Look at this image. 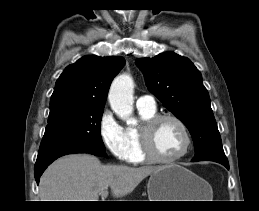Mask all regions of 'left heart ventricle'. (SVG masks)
Here are the masks:
<instances>
[{"label":"left heart ventricle","mask_w":259,"mask_h":211,"mask_svg":"<svg viewBox=\"0 0 259 211\" xmlns=\"http://www.w3.org/2000/svg\"><path fill=\"white\" fill-rule=\"evenodd\" d=\"M152 144L158 156L171 158L182 151L185 137L175 122L164 120L155 127L152 134Z\"/></svg>","instance_id":"b2bd125f"}]
</instances>
